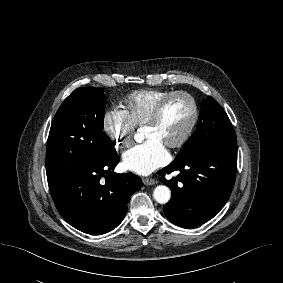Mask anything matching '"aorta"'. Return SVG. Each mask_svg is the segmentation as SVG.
Masks as SVG:
<instances>
[{
  "label": "aorta",
  "instance_id": "762f6f07",
  "mask_svg": "<svg viewBox=\"0 0 283 283\" xmlns=\"http://www.w3.org/2000/svg\"><path fill=\"white\" fill-rule=\"evenodd\" d=\"M153 197L158 203L166 204L171 198V191L167 186L159 185L154 189Z\"/></svg>",
  "mask_w": 283,
  "mask_h": 283
}]
</instances>
